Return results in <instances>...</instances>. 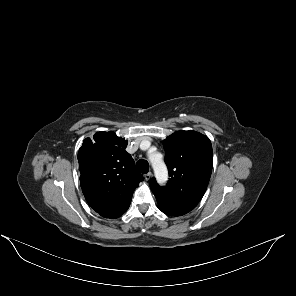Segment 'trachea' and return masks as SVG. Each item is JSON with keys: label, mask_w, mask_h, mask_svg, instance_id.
<instances>
[{"label": "trachea", "mask_w": 296, "mask_h": 296, "mask_svg": "<svg viewBox=\"0 0 296 296\" xmlns=\"http://www.w3.org/2000/svg\"><path fill=\"white\" fill-rule=\"evenodd\" d=\"M136 166H137V169L143 174H146L149 171V164L144 159L138 160L136 163Z\"/></svg>", "instance_id": "3493384b"}]
</instances>
